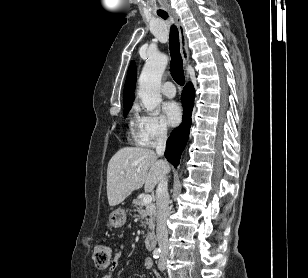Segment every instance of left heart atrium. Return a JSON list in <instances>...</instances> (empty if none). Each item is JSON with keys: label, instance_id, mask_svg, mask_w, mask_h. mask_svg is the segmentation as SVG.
<instances>
[{"label": "left heart atrium", "instance_id": "left-heart-atrium-1", "mask_svg": "<svg viewBox=\"0 0 308 278\" xmlns=\"http://www.w3.org/2000/svg\"><path fill=\"white\" fill-rule=\"evenodd\" d=\"M163 114L165 121L170 126H176L181 122L182 111L176 102H166L163 105Z\"/></svg>", "mask_w": 308, "mask_h": 278}]
</instances>
